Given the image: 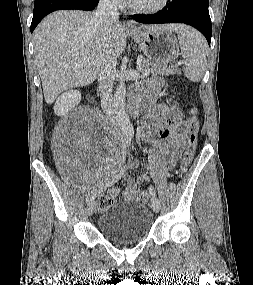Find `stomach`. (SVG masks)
<instances>
[{
  "mask_svg": "<svg viewBox=\"0 0 253 285\" xmlns=\"http://www.w3.org/2000/svg\"><path fill=\"white\" fill-rule=\"evenodd\" d=\"M144 55L153 63L168 64L180 55L175 35L166 29L137 30L131 32Z\"/></svg>",
  "mask_w": 253,
  "mask_h": 285,
  "instance_id": "stomach-1",
  "label": "stomach"
}]
</instances>
